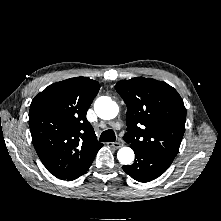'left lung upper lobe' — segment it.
Here are the masks:
<instances>
[{"label":"left lung upper lobe","instance_id":"obj_1","mask_svg":"<svg viewBox=\"0 0 221 221\" xmlns=\"http://www.w3.org/2000/svg\"><path fill=\"white\" fill-rule=\"evenodd\" d=\"M116 91L127 105L130 146L175 158L185 131L186 109L178 92L165 82L135 77L119 81Z\"/></svg>","mask_w":221,"mask_h":221}]
</instances>
